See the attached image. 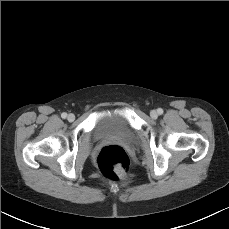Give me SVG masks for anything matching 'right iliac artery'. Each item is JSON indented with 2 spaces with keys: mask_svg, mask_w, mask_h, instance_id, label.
<instances>
[{
  "mask_svg": "<svg viewBox=\"0 0 229 229\" xmlns=\"http://www.w3.org/2000/svg\"><path fill=\"white\" fill-rule=\"evenodd\" d=\"M61 117H62V118H66V117H67V113H62V114H61Z\"/></svg>",
  "mask_w": 229,
  "mask_h": 229,
  "instance_id": "obj_1",
  "label": "right iliac artery"
}]
</instances>
